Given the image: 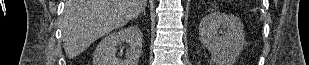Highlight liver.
Returning a JSON list of instances; mask_svg holds the SVG:
<instances>
[{
	"label": "liver",
	"mask_w": 309,
	"mask_h": 65,
	"mask_svg": "<svg viewBox=\"0 0 309 65\" xmlns=\"http://www.w3.org/2000/svg\"><path fill=\"white\" fill-rule=\"evenodd\" d=\"M147 0H66L62 19L63 47L69 58L95 40L138 17Z\"/></svg>",
	"instance_id": "obj_1"
}]
</instances>
